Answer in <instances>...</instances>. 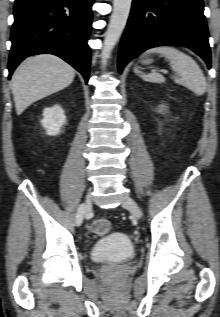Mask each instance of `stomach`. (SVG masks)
I'll return each mask as SVG.
<instances>
[{"instance_id": "stomach-1", "label": "stomach", "mask_w": 220, "mask_h": 317, "mask_svg": "<svg viewBox=\"0 0 220 317\" xmlns=\"http://www.w3.org/2000/svg\"><path fill=\"white\" fill-rule=\"evenodd\" d=\"M151 62H152V59H148V58L142 61L143 64H150Z\"/></svg>"}]
</instances>
